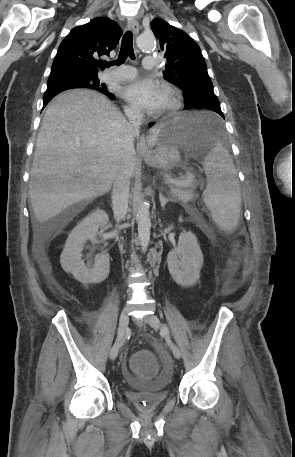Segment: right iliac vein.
<instances>
[{
    "label": "right iliac vein",
    "instance_id": "obj_1",
    "mask_svg": "<svg viewBox=\"0 0 295 457\" xmlns=\"http://www.w3.org/2000/svg\"><path fill=\"white\" fill-rule=\"evenodd\" d=\"M128 323H129L128 309L124 308L122 313H121V315H120V319H119V328H118L117 341H116V343L113 345V347L110 350L109 356H110L111 360H115L117 355H118L119 345H120L121 340L125 336V333H126L127 327H128Z\"/></svg>",
    "mask_w": 295,
    "mask_h": 457
}]
</instances>
